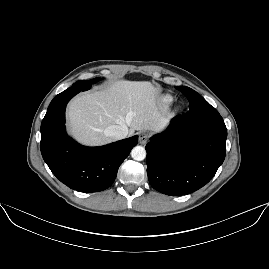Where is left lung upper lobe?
Returning <instances> with one entry per match:
<instances>
[{
	"label": "left lung upper lobe",
	"mask_w": 269,
	"mask_h": 269,
	"mask_svg": "<svg viewBox=\"0 0 269 269\" xmlns=\"http://www.w3.org/2000/svg\"><path fill=\"white\" fill-rule=\"evenodd\" d=\"M182 93L188 95L190 99V110L187 112L190 117H200L205 115L219 114L201 95L188 87L178 88Z\"/></svg>",
	"instance_id": "obj_1"
}]
</instances>
